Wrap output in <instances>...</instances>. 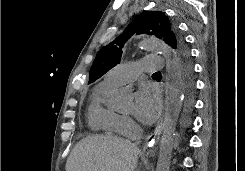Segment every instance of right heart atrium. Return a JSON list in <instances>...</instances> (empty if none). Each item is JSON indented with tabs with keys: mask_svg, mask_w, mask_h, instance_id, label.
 <instances>
[{
	"mask_svg": "<svg viewBox=\"0 0 245 171\" xmlns=\"http://www.w3.org/2000/svg\"><path fill=\"white\" fill-rule=\"evenodd\" d=\"M116 128L119 133L130 134L135 129V124L128 116L121 115L118 118Z\"/></svg>",
	"mask_w": 245,
	"mask_h": 171,
	"instance_id": "1",
	"label": "right heart atrium"
}]
</instances>
